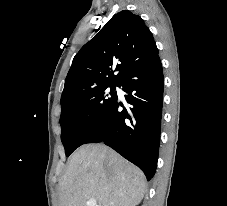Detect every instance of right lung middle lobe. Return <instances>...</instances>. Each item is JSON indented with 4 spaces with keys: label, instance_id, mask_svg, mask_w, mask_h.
Masks as SVG:
<instances>
[{
    "label": "right lung middle lobe",
    "instance_id": "right-lung-middle-lobe-1",
    "mask_svg": "<svg viewBox=\"0 0 227 206\" xmlns=\"http://www.w3.org/2000/svg\"><path fill=\"white\" fill-rule=\"evenodd\" d=\"M119 84H108L74 94L61 100V140L66 156L85 143L92 130L117 100ZM94 115L96 122L88 121Z\"/></svg>",
    "mask_w": 227,
    "mask_h": 206
}]
</instances>
